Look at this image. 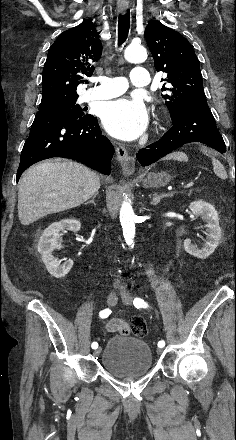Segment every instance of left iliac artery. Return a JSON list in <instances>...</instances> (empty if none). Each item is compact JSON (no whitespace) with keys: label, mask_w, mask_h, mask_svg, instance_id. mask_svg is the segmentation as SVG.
Returning a JSON list of instances; mask_svg holds the SVG:
<instances>
[{"label":"left iliac artery","mask_w":236,"mask_h":440,"mask_svg":"<svg viewBox=\"0 0 236 440\" xmlns=\"http://www.w3.org/2000/svg\"><path fill=\"white\" fill-rule=\"evenodd\" d=\"M133 304L136 308H147L148 304L141 298H135ZM165 346V341L161 340L158 342V347L163 348Z\"/></svg>","instance_id":"left-iliac-artery-1"}]
</instances>
